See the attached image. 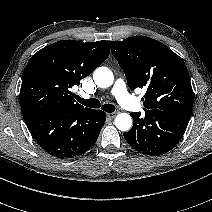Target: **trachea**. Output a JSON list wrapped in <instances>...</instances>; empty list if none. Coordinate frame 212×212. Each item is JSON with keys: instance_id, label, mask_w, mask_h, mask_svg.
Instances as JSON below:
<instances>
[{"instance_id": "3493384b", "label": "trachea", "mask_w": 212, "mask_h": 212, "mask_svg": "<svg viewBox=\"0 0 212 212\" xmlns=\"http://www.w3.org/2000/svg\"><path fill=\"white\" fill-rule=\"evenodd\" d=\"M75 98L79 103L83 104L86 107H90V108H100L101 107V104H100L99 100H97V99H83L79 96H75ZM101 109L105 112L112 113L115 111V106L112 104H104V105H102Z\"/></svg>"}]
</instances>
